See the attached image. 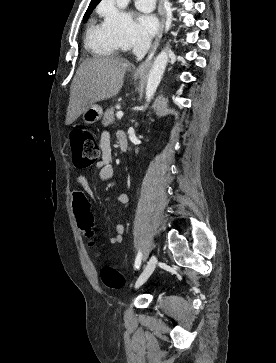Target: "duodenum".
Wrapping results in <instances>:
<instances>
[{
	"label": "duodenum",
	"instance_id": "410a0bca",
	"mask_svg": "<svg viewBox=\"0 0 276 363\" xmlns=\"http://www.w3.org/2000/svg\"><path fill=\"white\" fill-rule=\"evenodd\" d=\"M117 139H118L121 151L126 152L127 148H128V140H127L126 134L122 131L118 132Z\"/></svg>",
	"mask_w": 276,
	"mask_h": 363
}]
</instances>
